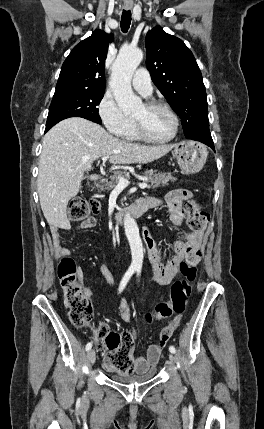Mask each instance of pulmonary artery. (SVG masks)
Listing matches in <instances>:
<instances>
[{"mask_svg":"<svg viewBox=\"0 0 264 429\" xmlns=\"http://www.w3.org/2000/svg\"><path fill=\"white\" fill-rule=\"evenodd\" d=\"M133 88L145 97L152 94L153 86L148 71L144 68L138 69L132 78Z\"/></svg>","mask_w":264,"mask_h":429,"instance_id":"obj_1","label":"pulmonary artery"}]
</instances>
